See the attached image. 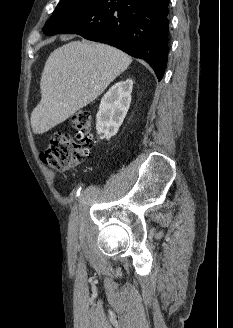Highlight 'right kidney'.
<instances>
[{
  "instance_id": "1",
  "label": "right kidney",
  "mask_w": 233,
  "mask_h": 328,
  "mask_svg": "<svg viewBox=\"0 0 233 328\" xmlns=\"http://www.w3.org/2000/svg\"><path fill=\"white\" fill-rule=\"evenodd\" d=\"M133 81L126 79L115 83L103 96L96 115V130L100 139L109 140L121 126L131 103Z\"/></svg>"
}]
</instances>
